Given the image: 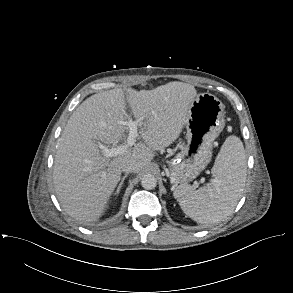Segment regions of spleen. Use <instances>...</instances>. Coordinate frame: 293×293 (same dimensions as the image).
Instances as JSON below:
<instances>
[{
    "label": "spleen",
    "instance_id": "obj_1",
    "mask_svg": "<svg viewBox=\"0 0 293 293\" xmlns=\"http://www.w3.org/2000/svg\"><path fill=\"white\" fill-rule=\"evenodd\" d=\"M246 172L243 143L238 137L229 136L217 155L210 183L197 190L182 184L174 190V198L197 223H218L234 211L244 190Z\"/></svg>",
    "mask_w": 293,
    "mask_h": 293
}]
</instances>
